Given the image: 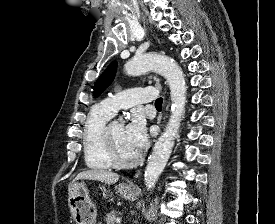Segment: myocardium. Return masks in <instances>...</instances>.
Listing matches in <instances>:
<instances>
[{"instance_id":"myocardium-1","label":"myocardium","mask_w":275,"mask_h":224,"mask_svg":"<svg viewBox=\"0 0 275 224\" xmlns=\"http://www.w3.org/2000/svg\"><path fill=\"white\" fill-rule=\"evenodd\" d=\"M102 144L106 153V156L109 160V162L112 164L114 167L118 168H131L136 166L140 160L141 156L140 154H137L134 158L130 160H124L121 159L114 147V144L111 139V134H110V125L105 126L103 133H102Z\"/></svg>"}]
</instances>
